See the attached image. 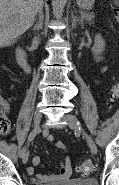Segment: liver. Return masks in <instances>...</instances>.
I'll use <instances>...</instances> for the list:
<instances>
[{
	"mask_svg": "<svg viewBox=\"0 0 119 185\" xmlns=\"http://www.w3.org/2000/svg\"><path fill=\"white\" fill-rule=\"evenodd\" d=\"M42 7L43 0H0V47L24 34Z\"/></svg>",
	"mask_w": 119,
	"mask_h": 185,
	"instance_id": "obj_1",
	"label": "liver"
}]
</instances>
